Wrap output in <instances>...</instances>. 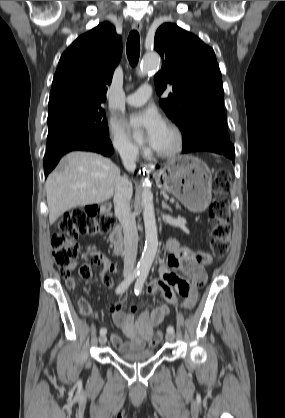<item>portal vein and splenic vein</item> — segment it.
Instances as JSON below:
<instances>
[{"label":"portal vein and splenic vein","instance_id":"portal-vein-and-splenic-vein-1","mask_svg":"<svg viewBox=\"0 0 285 418\" xmlns=\"http://www.w3.org/2000/svg\"><path fill=\"white\" fill-rule=\"evenodd\" d=\"M170 202L174 203V200L173 199H170Z\"/></svg>","mask_w":285,"mask_h":418}]
</instances>
